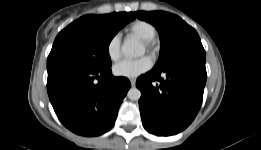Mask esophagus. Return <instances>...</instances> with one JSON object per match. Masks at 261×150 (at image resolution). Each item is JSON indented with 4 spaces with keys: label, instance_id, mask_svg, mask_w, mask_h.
I'll list each match as a JSON object with an SVG mask.
<instances>
[{
    "label": "esophagus",
    "instance_id": "esophagus-1",
    "mask_svg": "<svg viewBox=\"0 0 261 150\" xmlns=\"http://www.w3.org/2000/svg\"><path fill=\"white\" fill-rule=\"evenodd\" d=\"M130 82L133 87L136 85V79H130Z\"/></svg>",
    "mask_w": 261,
    "mask_h": 150
}]
</instances>
